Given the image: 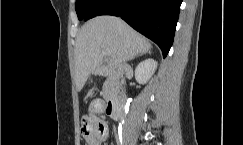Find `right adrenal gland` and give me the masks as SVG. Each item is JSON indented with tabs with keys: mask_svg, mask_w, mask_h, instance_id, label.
Masks as SVG:
<instances>
[{
	"mask_svg": "<svg viewBox=\"0 0 243 145\" xmlns=\"http://www.w3.org/2000/svg\"><path fill=\"white\" fill-rule=\"evenodd\" d=\"M148 54H151V52L149 51ZM141 56H143V54L136 55L133 59H135V58H139V57H141Z\"/></svg>",
	"mask_w": 243,
	"mask_h": 145,
	"instance_id": "2a0ac1e0",
	"label": "right adrenal gland"
}]
</instances>
